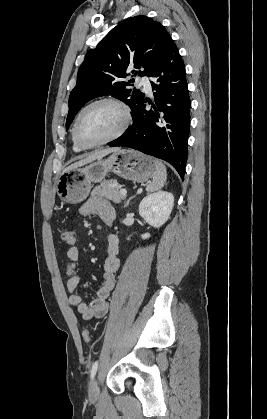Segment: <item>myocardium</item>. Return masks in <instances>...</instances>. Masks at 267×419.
<instances>
[{
	"label": "myocardium",
	"instance_id": "myocardium-1",
	"mask_svg": "<svg viewBox=\"0 0 267 419\" xmlns=\"http://www.w3.org/2000/svg\"><path fill=\"white\" fill-rule=\"evenodd\" d=\"M103 103H109L112 104L114 106H116L122 115V122L120 124V126L116 129V131L114 133H112L110 136H108L107 138L96 142L94 144H85L83 143L78 135V127H79V123L80 120L83 116V114L85 113L86 110H88L89 108H91L92 106L98 105V104H103ZM132 120V113H131V109L130 107L121 99L116 98V97H111V96H106V97H101V98H97L91 102H89L88 104H86L78 113L75 122H74V126H73V138L75 140V142L83 149H92V148H96L102 145H105L109 142H112L114 140H116L117 138H119L129 127L130 123Z\"/></svg>",
	"mask_w": 267,
	"mask_h": 419
}]
</instances>
